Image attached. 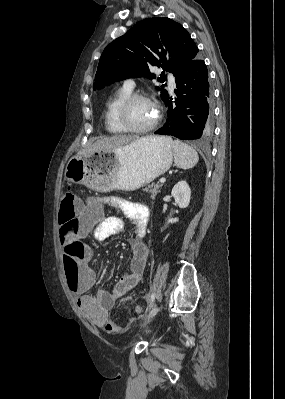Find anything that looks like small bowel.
<instances>
[{
  "mask_svg": "<svg viewBox=\"0 0 285 399\" xmlns=\"http://www.w3.org/2000/svg\"><path fill=\"white\" fill-rule=\"evenodd\" d=\"M105 206L119 208L124 217L134 225V235L129 238L130 270L119 278L111 292L100 288L92 296L88 291L96 284L97 279L89 265L91 250L85 248L80 274L76 281L69 283V287L76 297L78 309L81 313L98 327L105 328L111 334H118L122 327L116 321L109 319L108 310L114 306L117 300L131 291L143 276L148 260V249L142 239L147 232L146 225L149 220V212L145 204L125 198H117L112 201L99 199L92 205V208L103 210ZM71 222H76L80 226V235L90 231L86 221L79 214V208H77ZM123 230L124 222L121 218L104 215L92 230V234L96 240L101 241L121 234ZM59 234L63 247H67L72 241L76 240V236H73L64 227L60 228Z\"/></svg>",
  "mask_w": 285,
  "mask_h": 399,
  "instance_id": "small-bowel-1",
  "label": "small bowel"
}]
</instances>
